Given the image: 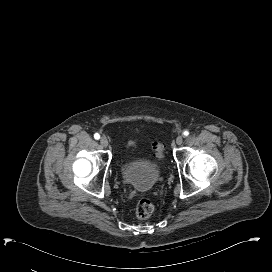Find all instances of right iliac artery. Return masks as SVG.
<instances>
[{"label":"right iliac artery","mask_w":272,"mask_h":272,"mask_svg":"<svg viewBox=\"0 0 272 272\" xmlns=\"http://www.w3.org/2000/svg\"><path fill=\"white\" fill-rule=\"evenodd\" d=\"M94 138H95L96 140H98V139L100 138V135H99L98 133H95V134H94Z\"/></svg>","instance_id":"82829eb1"}]
</instances>
